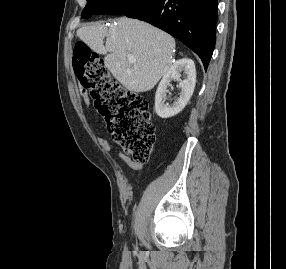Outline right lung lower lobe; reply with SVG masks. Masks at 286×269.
<instances>
[{
  "label": "right lung lower lobe",
  "instance_id": "right-lung-lower-lobe-1",
  "mask_svg": "<svg viewBox=\"0 0 286 269\" xmlns=\"http://www.w3.org/2000/svg\"><path fill=\"white\" fill-rule=\"evenodd\" d=\"M218 0H151L126 15L146 21L194 51L207 69L215 42Z\"/></svg>",
  "mask_w": 286,
  "mask_h": 269
}]
</instances>
